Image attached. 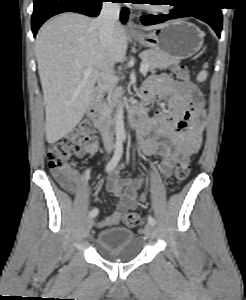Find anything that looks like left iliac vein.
<instances>
[{
    "label": "left iliac vein",
    "mask_w": 246,
    "mask_h": 300,
    "mask_svg": "<svg viewBox=\"0 0 246 300\" xmlns=\"http://www.w3.org/2000/svg\"><path fill=\"white\" fill-rule=\"evenodd\" d=\"M144 234L147 238L153 239L155 237V227L154 225L148 223L144 227Z\"/></svg>",
    "instance_id": "obj_1"
}]
</instances>
